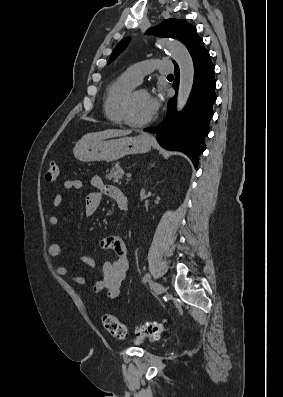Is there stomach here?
<instances>
[{
	"mask_svg": "<svg viewBox=\"0 0 283 397\" xmlns=\"http://www.w3.org/2000/svg\"><path fill=\"white\" fill-rule=\"evenodd\" d=\"M151 141L146 135L124 137L113 140H80L73 153L82 162L118 160L126 155L146 153L151 149Z\"/></svg>",
	"mask_w": 283,
	"mask_h": 397,
	"instance_id": "0dacf381",
	"label": "stomach"
}]
</instances>
